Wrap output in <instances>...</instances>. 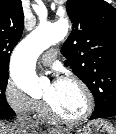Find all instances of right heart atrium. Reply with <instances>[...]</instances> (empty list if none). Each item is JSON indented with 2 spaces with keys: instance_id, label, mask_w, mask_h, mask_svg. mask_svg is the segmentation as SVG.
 I'll return each instance as SVG.
<instances>
[{
  "instance_id": "right-heart-atrium-1",
  "label": "right heart atrium",
  "mask_w": 116,
  "mask_h": 134,
  "mask_svg": "<svg viewBox=\"0 0 116 134\" xmlns=\"http://www.w3.org/2000/svg\"><path fill=\"white\" fill-rule=\"evenodd\" d=\"M3 97L8 107L18 115H33L44 108L43 101L26 94L12 79H8Z\"/></svg>"
}]
</instances>
